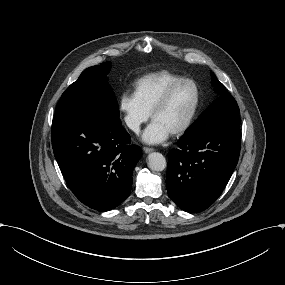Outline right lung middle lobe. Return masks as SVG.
Here are the masks:
<instances>
[{
    "label": "right lung middle lobe",
    "instance_id": "dd1d6c3e",
    "mask_svg": "<svg viewBox=\"0 0 285 285\" xmlns=\"http://www.w3.org/2000/svg\"><path fill=\"white\" fill-rule=\"evenodd\" d=\"M110 69L109 61L85 69L62 94L55 115L88 113L118 118L117 101L108 85Z\"/></svg>",
    "mask_w": 285,
    "mask_h": 285
}]
</instances>
